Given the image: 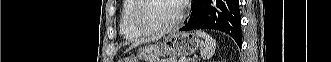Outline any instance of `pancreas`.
<instances>
[{
    "label": "pancreas",
    "instance_id": "obj_1",
    "mask_svg": "<svg viewBox=\"0 0 331 62\" xmlns=\"http://www.w3.org/2000/svg\"><path fill=\"white\" fill-rule=\"evenodd\" d=\"M161 62H176L175 58H167L164 60H161Z\"/></svg>",
    "mask_w": 331,
    "mask_h": 62
}]
</instances>
